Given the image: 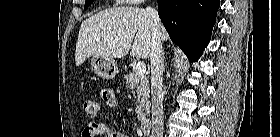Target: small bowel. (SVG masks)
Listing matches in <instances>:
<instances>
[{
    "instance_id": "1",
    "label": "small bowel",
    "mask_w": 280,
    "mask_h": 137,
    "mask_svg": "<svg viewBox=\"0 0 280 137\" xmlns=\"http://www.w3.org/2000/svg\"><path fill=\"white\" fill-rule=\"evenodd\" d=\"M107 91H111L112 90H107ZM108 106L110 107H114L116 105V100H112V101H107L106 102ZM99 134V135H106V137H125L124 134L113 130L112 128H110L107 124L105 123H90L88 126H86L82 132V137H91L90 135L93 134Z\"/></svg>"
}]
</instances>
